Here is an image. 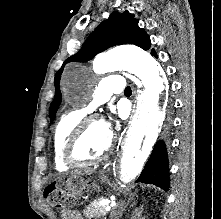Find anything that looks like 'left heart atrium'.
Segmentation results:
<instances>
[{
  "instance_id": "1",
  "label": "left heart atrium",
  "mask_w": 221,
  "mask_h": 219,
  "mask_svg": "<svg viewBox=\"0 0 221 219\" xmlns=\"http://www.w3.org/2000/svg\"><path fill=\"white\" fill-rule=\"evenodd\" d=\"M103 127L109 132L111 130V124L107 121L103 122Z\"/></svg>"
}]
</instances>
